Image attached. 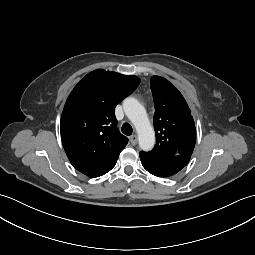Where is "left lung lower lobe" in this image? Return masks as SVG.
Masks as SVG:
<instances>
[{
  "label": "left lung lower lobe",
  "instance_id": "left-lung-lower-lobe-1",
  "mask_svg": "<svg viewBox=\"0 0 255 255\" xmlns=\"http://www.w3.org/2000/svg\"><path fill=\"white\" fill-rule=\"evenodd\" d=\"M143 167L152 175L170 177L182 170L189 162L190 157H177L170 161L153 160L143 153L139 154Z\"/></svg>",
  "mask_w": 255,
  "mask_h": 255
}]
</instances>
